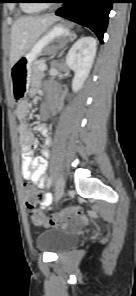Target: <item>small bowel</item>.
I'll list each match as a JSON object with an SVG mask.
<instances>
[{
  "mask_svg": "<svg viewBox=\"0 0 136 296\" xmlns=\"http://www.w3.org/2000/svg\"><path fill=\"white\" fill-rule=\"evenodd\" d=\"M29 111V102H21L16 109V117L18 120V133L21 141V156H22V174L23 177L29 179L39 188H45L46 181L44 174L47 168V161L45 156L48 155V148L50 146V128L46 124H38L35 130L47 137L42 156H34L33 152L37 147V140L34 137L31 129L26 122V116ZM45 116V114H43ZM53 193H46L45 199L42 202L44 209L50 208V202L54 201Z\"/></svg>",
  "mask_w": 136,
  "mask_h": 296,
  "instance_id": "obj_1",
  "label": "small bowel"
}]
</instances>
